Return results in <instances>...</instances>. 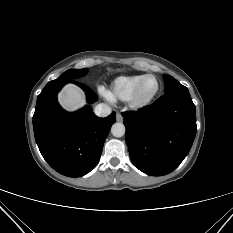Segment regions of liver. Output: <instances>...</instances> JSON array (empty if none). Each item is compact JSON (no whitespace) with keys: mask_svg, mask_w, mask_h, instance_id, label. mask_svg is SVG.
Segmentation results:
<instances>
[{"mask_svg":"<svg viewBox=\"0 0 233 233\" xmlns=\"http://www.w3.org/2000/svg\"><path fill=\"white\" fill-rule=\"evenodd\" d=\"M60 105L67 111H76L86 104L85 96L80 88L67 84L58 94Z\"/></svg>","mask_w":233,"mask_h":233,"instance_id":"obj_1","label":"liver"}]
</instances>
